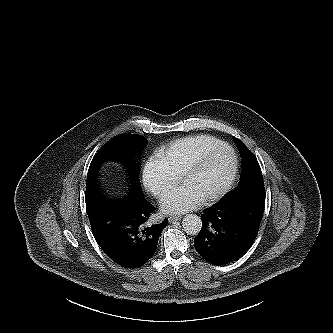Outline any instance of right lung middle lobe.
Segmentation results:
<instances>
[{"label":"right lung middle lobe","instance_id":"right-lung-middle-lobe-1","mask_svg":"<svg viewBox=\"0 0 333 333\" xmlns=\"http://www.w3.org/2000/svg\"><path fill=\"white\" fill-rule=\"evenodd\" d=\"M147 140L137 134H122L110 139L93 157L86 180V194L98 193L96 181L101 165L106 161H116L128 165L129 159L141 150ZM129 167V166H128ZM132 188L129 194L140 195L139 168L130 169ZM141 196V195H140Z\"/></svg>","mask_w":333,"mask_h":333}]
</instances>
